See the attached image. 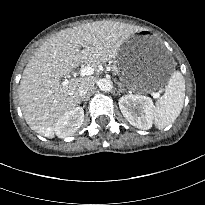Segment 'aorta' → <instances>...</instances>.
I'll return each mask as SVG.
<instances>
[{
	"mask_svg": "<svg viewBox=\"0 0 205 205\" xmlns=\"http://www.w3.org/2000/svg\"><path fill=\"white\" fill-rule=\"evenodd\" d=\"M98 87L103 92H109L112 90L113 84L111 80L105 78L98 81Z\"/></svg>",
	"mask_w": 205,
	"mask_h": 205,
	"instance_id": "aorta-1",
	"label": "aorta"
}]
</instances>
